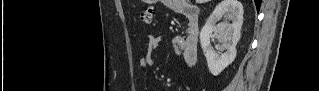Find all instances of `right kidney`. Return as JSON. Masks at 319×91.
Here are the masks:
<instances>
[{
  "label": "right kidney",
  "instance_id": "right-kidney-1",
  "mask_svg": "<svg viewBox=\"0 0 319 91\" xmlns=\"http://www.w3.org/2000/svg\"><path fill=\"white\" fill-rule=\"evenodd\" d=\"M223 17V22L219 20ZM243 24V6L238 0H223L219 3L200 33V43L207 60L209 71L214 76L220 74L236 58V45L240 39ZM215 37L221 45L216 53L210 50V38Z\"/></svg>",
  "mask_w": 319,
  "mask_h": 91
}]
</instances>
